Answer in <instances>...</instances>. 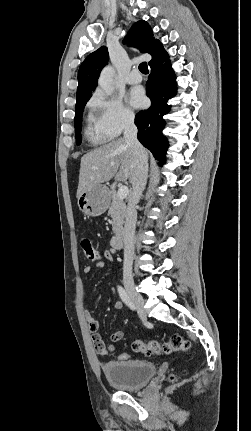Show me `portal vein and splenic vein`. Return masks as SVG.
<instances>
[{"instance_id":"1","label":"portal vein and splenic vein","mask_w":251,"mask_h":431,"mask_svg":"<svg viewBox=\"0 0 251 431\" xmlns=\"http://www.w3.org/2000/svg\"><path fill=\"white\" fill-rule=\"evenodd\" d=\"M128 193H129L128 187L127 186H121L118 189L117 196H118L119 199L123 200L124 198L127 197Z\"/></svg>"}]
</instances>
